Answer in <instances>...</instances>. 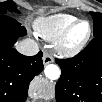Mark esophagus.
I'll use <instances>...</instances> for the list:
<instances>
[{"instance_id":"esophagus-1","label":"esophagus","mask_w":102,"mask_h":102,"mask_svg":"<svg viewBox=\"0 0 102 102\" xmlns=\"http://www.w3.org/2000/svg\"><path fill=\"white\" fill-rule=\"evenodd\" d=\"M52 62H54L53 56L51 54H49V52L44 51L43 52V64L47 65V64L52 63Z\"/></svg>"}]
</instances>
